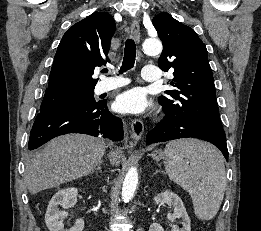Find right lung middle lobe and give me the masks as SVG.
<instances>
[{
  "label": "right lung middle lobe",
  "instance_id": "obj_1",
  "mask_svg": "<svg viewBox=\"0 0 261 231\" xmlns=\"http://www.w3.org/2000/svg\"><path fill=\"white\" fill-rule=\"evenodd\" d=\"M96 102L94 88L46 90L40 112H47L72 105H91Z\"/></svg>",
  "mask_w": 261,
  "mask_h": 231
}]
</instances>
